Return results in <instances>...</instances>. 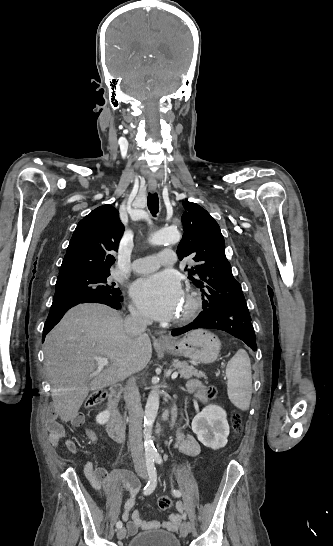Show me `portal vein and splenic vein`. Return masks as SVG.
Returning a JSON list of instances; mask_svg holds the SVG:
<instances>
[{
	"label": "portal vein and splenic vein",
	"mask_w": 333,
	"mask_h": 546,
	"mask_svg": "<svg viewBox=\"0 0 333 546\" xmlns=\"http://www.w3.org/2000/svg\"><path fill=\"white\" fill-rule=\"evenodd\" d=\"M94 359L98 363V365L101 366V367L108 365V359L106 357L94 356ZM177 376H178V372L175 371V372H173L171 378L175 379V378H177Z\"/></svg>",
	"instance_id": "obj_1"
}]
</instances>
